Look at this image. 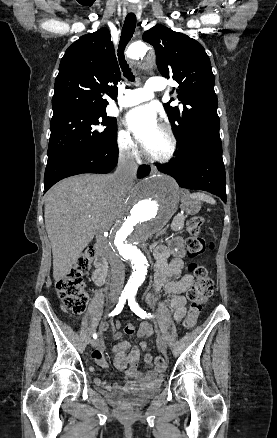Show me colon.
<instances>
[{"instance_id": "obj_1", "label": "colon", "mask_w": 277, "mask_h": 438, "mask_svg": "<svg viewBox=\"0 0 277 438\" xmlns=\"http://www.w3.org/2000/svg\"><path fill=\"white\" fill-rule=\"evenodd\" d=\"M204 224L202 218H191L186 225L187 231L192 235L187 239V256L196 258L207 251V240L199 236L198 233ZM95 248H85V257H95ZM90 260L82 258L78 260L76 267L72 268L64 277L56 283L57 295L61 298L65 310L72 316L80 315L85 311L88 295L84 290V283L81 276L88 272ZM190 273L194 277V282L189 289L188 297L191 301L188 313L184 319L183 325L186 329H191L197 321L202 306L207 302L214 290V281L209 276L207 269L202 265H191ZM155 365L158 369H163L165 360L158 356L155 359Z\"/></svg>"}]
</instances>
